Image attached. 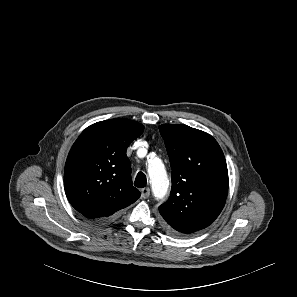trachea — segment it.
Segmentation results:
<instances>
[{
    "mask_svg": "<svg viewBox=\"0 0 297 297\" xmlns=\"http://www.w3.org/2000/svg\"><path fill=\"white\" fill-rule=\"evenodd\" d=\"M147 184L146 175L142 172H139L135 178L134 185L138 188L145 187Z\"/></svg>",
    "mask_w": 297,
    "mask_h": 297,
    "instance_id": "trachea-1",
    "label": "trachea"
}]
</instances>
